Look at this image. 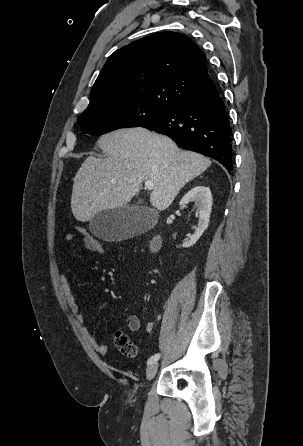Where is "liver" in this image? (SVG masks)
I'll list each match as a JSON object with an SVG mask.
<instances>
[{"label":"liver","mask_w":303,"mask_h":446,"mask_svg":"<svg viewBox=\"0 0 303 446\" xmlns=\"http://www.w3.org/2000/svg\"><path fill=\"white\" fill-rule=\"evenodd\" d=\"M98 146L107 157L89 156L74 177L71 209L81 222L101 211L123 207L145 180L154 186L152 206L166 210L181 188L211 165L203 155L181 150L169 137L142 127L107 133Z\"/></svg>","instance_id":"liver-1"}]
</instances>
